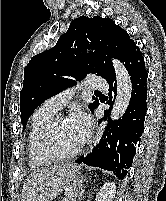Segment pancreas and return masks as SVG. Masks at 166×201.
Here are the masks:
<instances>
[{"mask_svg": "<svg viewBox=\"0 0 166 201\" xmlns=\"http://www.w3.org/2000/svg\"><path fill=\"white\" fill-rule=\"evenodd\" d=\"M76 197L77 193L71 188V190L67 192L64 201H76Z\"/></svg>", "mask_w": 166, "mask_h": 201, "instance_id": "obj_1", "label": "pancreas"}]
</instances>
